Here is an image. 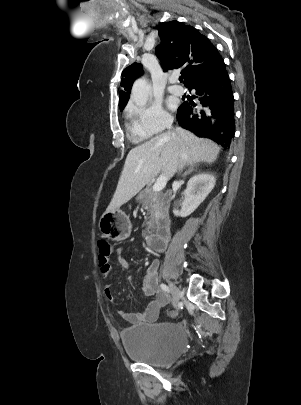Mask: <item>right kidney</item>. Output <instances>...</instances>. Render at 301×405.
Returning <instances> with one entry per match:
<instances>
[{"mask_svg": "<svg viewBox=\"0 0 301 405\" xmlns=\"http://www.w3.org/2000/svg\"><path fill=\"white\" fill-rule=\"evenodd\" d=\"M215 183V177L209 173H199L190 178L184 191L181 210H174V215L187 217L193 213L212 191Z\"/></svg>", "mask_w": 301, "mask_h": 405, "instance_id": "ca27d5eb", "label": "right kidney"}]
</instances>
